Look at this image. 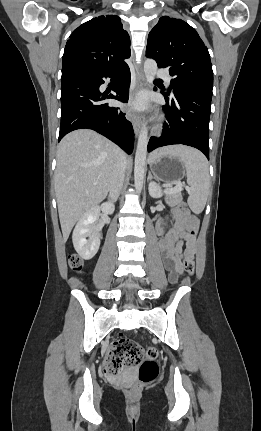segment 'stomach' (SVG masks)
Wrapping results in <instances>:
<instances>
[{
    "label": "stomach",
    "mask_w": 261,
    "mask_h": 431,
    "mask_svg": "<svg viewBox=\"0 0 261 431\" xmlns=\"http://www.w3.org/2000/svg\"><path fill=\"white\" fill-rule=\"evenodd\" d=\"M151 171L157 180L165 183L179 182L185 175V167L176 157L161 156L150 162Z\"/></svg>",
    "instance_id": "obj_1"
}]
</instances>
